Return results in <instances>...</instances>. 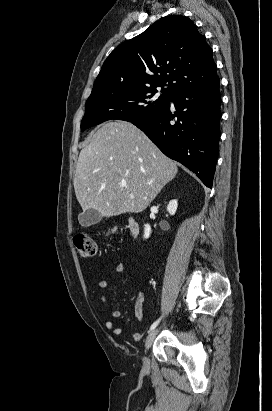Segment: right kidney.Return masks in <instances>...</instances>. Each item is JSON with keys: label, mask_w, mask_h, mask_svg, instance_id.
<instances>
[{"label": "right kidney", "mask_w": 272, "mask_h": 411, "mask_svg": "<svg viewBox=\"0 0 272 411\" xmlns=\"http://www.w3.org/2000/svg\"><path fill=\"white\" fill-rule=\"evenodd\" d=\"M177 206H178L177 200H171V201L169 202V204L167 205V211H168V213H169L170 215H174V214L176 213ZM150 234H151V227H150L149 224H146L145 227H144V235H143V237H144L145 239H147V238H149Z\"/></svg>", "instance_id": "ca27d5eb"}]
</instances>
